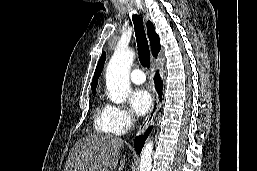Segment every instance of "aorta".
<instances>
[{
  "mask_svg": "<svg viewBox=\"0 0 257 171\" xmlns=\"http://www.w3.org/2000/svg\"><path fill=\"white\" fill-rule=\"evenodd\" d=\"M135 53L133 50L116 49L106 70L107 95L113 103L121 104L130 91L129 72ZM153 142L145 143L140 155L139 171H150Z\"/></svg>",
  "mask_w": 257,
  "mask_h": 171,
  "instance_id": "1",
  "label": "aorta"
}]
</instances>
